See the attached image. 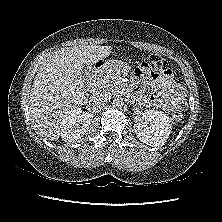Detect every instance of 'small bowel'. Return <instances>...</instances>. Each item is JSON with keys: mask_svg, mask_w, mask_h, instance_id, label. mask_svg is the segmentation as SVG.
<instances>
[{"mask_svg": "<svg viewBox=\"0 0 222 222\" xmlns=\"http://www.w3.org/2000/svg\"><path fill=\"white\" fill-rule=\"evenodd\" d=\"M136 76L139 78L138 88L148 84L158 91L148 98V104L166 111H180L185 107L184 90L173 80L170 69L161 74L136 72ZM143 98V94H140L139 99Z\"/></svg>", "mask_w": 222, "mask_h": 222, "instance_id": "c3829d8e", "label": "small bowel"}]
</instances>
